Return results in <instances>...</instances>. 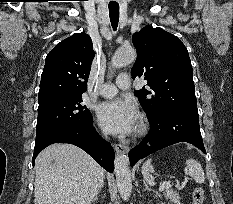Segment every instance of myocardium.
I'll return each mask as SVG.
<instances>
[{"mask_svg": "<svg viewBox=\"0 0 233 204\" xmlns=\"http://www.w3.org/2000/svg\"><path fill=\"white\" fill-rule=\"evenodd\" d=\"M148 130V124L147 120L144 116L139 117V122L137 124V127L135 129V136L140 137L144 135Z\"/></svg>", "mask_w": 233, "mask_h": 204, "instance_id": "myocardium-1", "label": "myocardium"}]
</instances>
